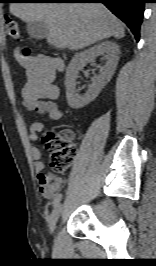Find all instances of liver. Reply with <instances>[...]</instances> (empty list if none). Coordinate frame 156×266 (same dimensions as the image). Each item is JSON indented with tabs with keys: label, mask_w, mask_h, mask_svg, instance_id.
Returning <instances> with one entry per match:
<instances>
[{
	"label": "liver",
	"mask_w": 156,
	"mask_h": 266,
	"mask_svg": "<svg viewBox=\"0 0 156 266\" xmlns=\"http://www.w3.org/2000/svg\"><path fill=\"white\" fill-rule=\"evenodd\" d=\"M10 13L27 23L45 22L47 42L58 49L79 50L125 36L123 23L101 3H11Z\"/></svg>",
	"instance_id": "1"
}]
</instances>
